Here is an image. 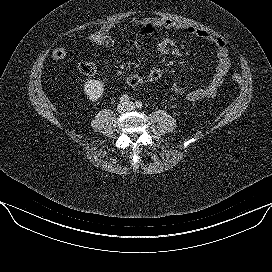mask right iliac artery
Returning <instances> with one entry per match:
<instances>
[{
    "instance_id": "right-iliac-artery-1",
    "label": "right iliac artery",
    "mask_w": 272,
    "mask_h": 272,
    "mask_svg": "<svg viewBox=\"0 0 272 272\" xmlns=\"http://www.w3.org/2000/svg\"><path fill=\"white\" fill-rule=\"evenodd\" d=\"M120 101L123 102V103H127L129 101V96L127 94L122 95L120 97Z\"/></svg>"
}]
</instances>
